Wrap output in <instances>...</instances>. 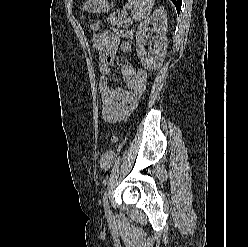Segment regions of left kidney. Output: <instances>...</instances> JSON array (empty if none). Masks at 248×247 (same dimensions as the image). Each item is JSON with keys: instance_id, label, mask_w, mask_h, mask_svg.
<instances>
[{"instance_id": "1", "label": "left kidney", "mask_w": 248, "mask_h": 247, "mask_svg": "<svg viewBox=\"0 0 248 247\" xmlns=\"http://www.w3.org/2000/svg\"><path fill=\"white\" fill-rule=\"evenodd\" d=\"M149 25L153 26L151 31L156 33L153 38L155 50L152 56H147L144 48L148 38L146 33L150 30ZM166 33L167 14L164 7H159L149 18L140 23L136 32V52L144 68L156 70L162 65L167 52Z\"/></svg>"}]
</instances>
